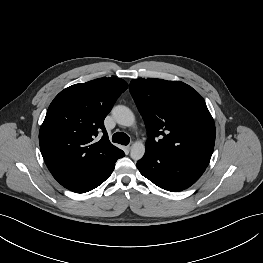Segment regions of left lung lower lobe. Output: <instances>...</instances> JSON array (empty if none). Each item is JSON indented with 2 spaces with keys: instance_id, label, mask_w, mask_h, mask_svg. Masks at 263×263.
Wrapping results in <instances>:
<instances>
[{
  "instance_id": "0a47b994",
  "label": "left lung lower lobe",
  "mask_w": 263,
  "mask_h": 263,
  "mask_svg": "<svg viewBox=\"0 0 263 263\" xmlns=\"http://www.w3.org/2000/svg\"><path fill=\"white\" fill-rule=\"evenodd\" d=\"M140 173L158 187L171 192L194 184L206 167L174 154H159L146 150L137 162Z\"/></svg>"
}]
</instances>
